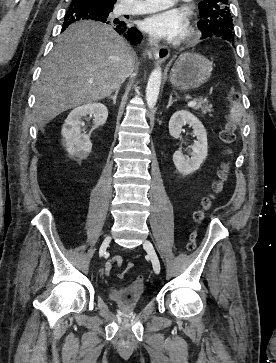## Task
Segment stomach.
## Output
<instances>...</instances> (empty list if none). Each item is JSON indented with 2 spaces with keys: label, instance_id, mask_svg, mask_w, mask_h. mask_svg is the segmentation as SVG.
Masks as SVG:
<instances>
[{
  "label": "stomach",
  "instance_id": "0dacf381",
  "mask_svg": "<svg viewBox=\"0 0 276 363\" xmlns=\"http://www.w3.org/2000/svg\"><path fill=\"white\" fill-rule=\"evenodd\" d=\"M212 62L195 53H183L175 61L169 75L172 86L182 91L200 88L211 76Z\"/></svg>",
  "mask_w": 276,
  "mask_h": 363
}]
</instances>
